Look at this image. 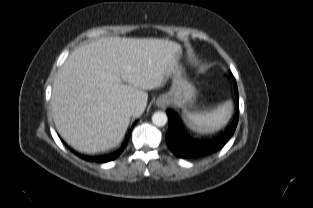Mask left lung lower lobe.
I'll use <instances>...</instances> for the list:
<instances>
[{
  "mask_svg": "<svg viewBox=\"0 0 313 208\" xmlns=\"http://www.w3.org/2000/svg\"><path fill=\"white\" fill-rule=\"evenodd\" d=\"M234 89L239 106L238 88L236 82H234ZM167 114L169 119V128L166 134V143L168 147L178 157L196 158L212 154L220 150L227 143L236 129L239 118V109L237 110L231 125L225 133L219 138L211 141L194 139L186 133L184 125L177 113L169 110L167 111Z\"/></svg>",
  "mask_w": 313,
  "mask_h": 208,
  "instance_id": "obj_1",
  "label": "left lung lower lobe"
}]
</instances>
